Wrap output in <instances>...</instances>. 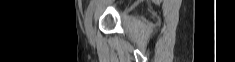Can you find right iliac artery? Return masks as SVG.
<instances>
[{"mask_svg":"<svg viewBox=\"0 0 235 62\" xmlns=\"http://www.w3.org/2000/svg\"><path fill=\"white\" fill-rule=\"evenodd\" d=\"M94 8H95V1H91V3L88 6V9L86 11V18H85V27H86V29L88 28V26L91 22Z\"/></svg>","mask_w":235,"mask_h":62,"instance_id":"obj_1","label":"right iliac artery"}]
</instances>
